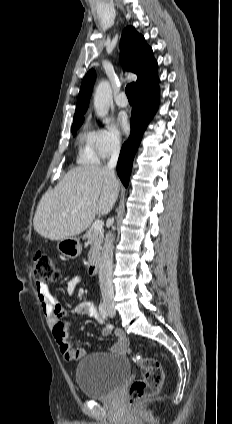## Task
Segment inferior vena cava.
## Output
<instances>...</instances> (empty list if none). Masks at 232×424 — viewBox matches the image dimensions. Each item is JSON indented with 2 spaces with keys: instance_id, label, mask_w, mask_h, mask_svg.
Returning a JSON list of instances; mask_svg holds the SVG:
<instances>
[{
  "instance_id": "1",
  "label": "inferior vena cava",
  "mask_w": 232,
  "mask_h": 424,
  "mask_svg": "<svg viewBox=\"0 0 232 424\" xmlns=\"http://www.w3.org/2000/svg\"><path fill=\"white\" fill-rule=\"evenodd\" d=\"M120 153V141L114 139L111 143V158L104 167L110 175L112 181L117 183L114 168L117 165ZM112 265H113V237L111 233H107L102 248V255L99 265V284L104 302H112L114 298V287L112 283Z\"/></svg>"
}]
</instances>
